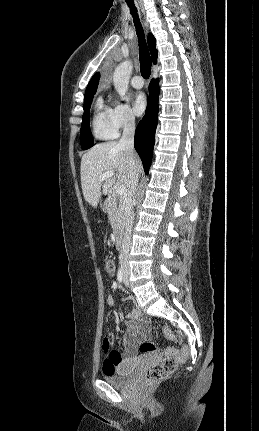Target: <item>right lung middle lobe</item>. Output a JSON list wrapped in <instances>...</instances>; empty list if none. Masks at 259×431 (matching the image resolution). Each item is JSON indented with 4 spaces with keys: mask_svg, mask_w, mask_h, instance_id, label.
<instances>
[{
    "mask_svg": "<svg viewBox=\"0 0 259 431\" xmlns=\"http://www.w3.org/2000/svg\"><path fill=\"white\" fill-rule=\"evenodd\" d=\"M95 92L85 94L84 96V114L80 131V143L83 150L89 149L94 145L93 138L90 133V106Z\"/></svg>",
    "mask_w": 259,
    "mask_h": 431,
    "instance_id": "1",
    "label": "right lung middle lobe"
}]
</instances>
